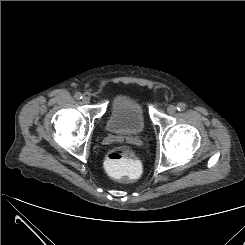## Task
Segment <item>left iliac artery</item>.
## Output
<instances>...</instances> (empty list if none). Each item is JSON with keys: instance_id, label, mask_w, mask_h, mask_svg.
<instances>
[{"instance_id": "obj_1", "label": "left iliac artery", "mask_w": 245, "mask_h": 245, "mask_svg": "<svg viewBox=\"0 0 245 245\" xmlns=\"http://www.w3.org/2000/svg\"><path fill=\"white\" fill-rule=\"evenodd\" d=\"M185 108H186V105H185L184 103H179V104L177 105V110H178V111H184Z\"/></svg>"}]
</instances>
